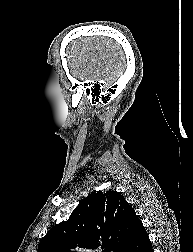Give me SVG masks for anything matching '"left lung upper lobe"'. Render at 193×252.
<instances>
[{
  "instance_id": "1",
  "label": "left lung upper lobe",
  "mask_w": 193,
  "mask_h": 252,
  "mask_svg": "<svg viewBox=\"0 0 193 252\" xmlns=\"http://www.w3.org/2000/svg\"><path fill=\"white\" fill-rule=\"evenodd\" d=\"M140 222L119 192H93L49 230L38 252H125Z\"/></svg>"
}]
</instances>
